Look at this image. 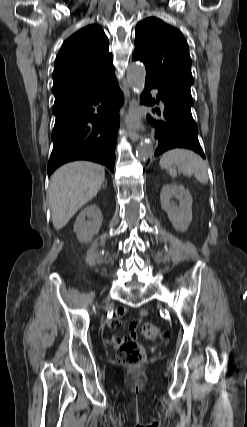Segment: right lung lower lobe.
Segmentation results:
<instances>
[{
	"label": "right lung lower lobe",
	"instance_id": "98d812e1",
	"mask_svg": "<svg viewBox=\"0 0 247 427\" xmlns=\"http://www.w3.org/2000/svg\"><path fill=\"white\" fill-rule=\"evenodd\" d=\"M123 95L116 79L87 95L54 103L56 116L52 131L53 150L48 175L64 163L89 160L112 172Z\"/></svg>",
	"mask_w": 247,
	"mask_h": 427
}]
</instances>
